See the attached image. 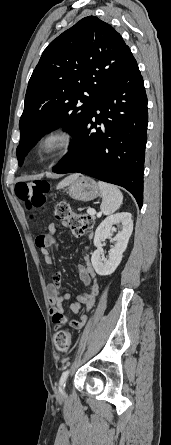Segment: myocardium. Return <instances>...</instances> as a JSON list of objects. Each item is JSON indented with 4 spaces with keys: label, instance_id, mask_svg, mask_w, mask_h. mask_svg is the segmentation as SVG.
<instances>
[{
    "label": "myocardium",
    "instance_id": "f54148a6",
    "mask_svg": "<svg viewBox=\"0 0 171 445\" xmlns=\"http://www.w3.org/2000/svg\"><path fill=\"white\" fill-rule=\"evenodd\" d=\"M73 144L72 132L64 126L48 130L39 139L36 152L45 160L57 158L70 149Z\"/></svg>",
    "mask_w": 171,
    "mask_h": 445
}]
</instances>
